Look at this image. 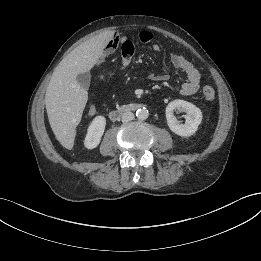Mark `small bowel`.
<instances>
[{"label":"small bowel","mask_w":261,"mask_h":261,"mask_svg":"<svg viewBox=\"0 0 261 261\" xmlns=\"http://www.w3.org/2000/svg\"><path fill=\"white\" fill-rule=\"evenodd\" d=\"M139 42L143 45H151V48L155 52L161 51V46L158 44H152L153 35L148 30H142L138 35ZM117 48L121 52V71L127 69L130 65L135 53V43L127 38L120 36H113L106 45L103 57H108ZM171 65L174 72L172 74H152L151 79L154 81H166L171 79L175 72L181 71L186 75V81L181 85L180 93L184 96H191L198 92L200 88V73L194 67V65L188 61L183 55L179 53H173L170 57ZM96 108L92 106L89 110L91 115L95 114Z\"/></svg>","instance_id":"1"}]
</instances>
